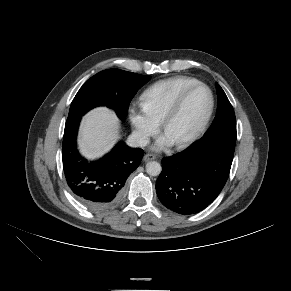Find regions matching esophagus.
Instances as JSON below:
<instances>
[{
  "mask_svg": "<svg viewBox=\"0 0 291 291\" xmlns=\"http://www.w3.org/2000/svg\"><path fill=\"white\" fill-rule=\"evenodd\" d=\"M155 158H156V157H155V155H153V154H146V155H144V157H143V161L148 162V161L154 160Z\"/></svg>",
  "mask_w": 291,
  "mask_h": 291,
  "instance_id": "esophagus-1",
  "label": "esophagus"
}]
</instances>
